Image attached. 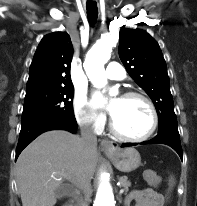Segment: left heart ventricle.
Returning <instances> with one entry per match:
<instances>
[{"instance_id":"left-heart-ventricle-1","label":"left heart ventricle","mask_w":197,"mask_h":206,"mask_svg":"<svg viewBox=\"0 0 197 206\" xmlns=\"http://www.w3.org/2000/svg\"><path fill=\"white\" fill-rule=\"evenodd\" d=\"M112 117L117 128L130 136H141L148 132L152 115L148 105L139 98L118 97L112 100Z\"/></svg>"}]
</instances>
